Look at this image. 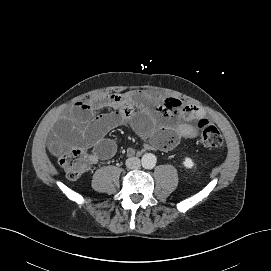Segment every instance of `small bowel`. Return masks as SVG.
Masks as SVG:
<instances>
[{
    "mask_svg": "<svg viewBox=\"0 0 271 271\" xmlns=\"http://www.w3.org/2000/svg\"><path fill=\"white\" fill-rule=\"evenodd\" d=\"M104 108L112 111L97 113ZM203 115L195 105H183L176 98L144 90L97 95L75 103L69 115L57 122L51 147L55 153L69 146L91 149L92 162L106 160L117 150L115 142L106 138L107 133L131 123L140 136L151 137L154 148L170 150L182 139L199 138L200 132L191 121Z\"/></svg>",
    "mask_w": 271,
    "mask_h": 271,
    "instance_id": "obj_1",
    "label": "small bowel"
}]
</instances>
